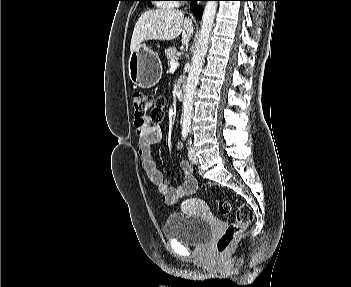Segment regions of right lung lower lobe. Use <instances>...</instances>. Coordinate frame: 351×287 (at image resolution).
I'll list each match as a JSON object with an SVG mask.
<instances>
[{
    "label": "right lung lower lobe",
    "mask_w": 351,
    "mask_h": 287,
    "mask_svg": "<svg viewBox=\"0 0 351 287\" xmlns=\"http://www.w3.org/2000/svg\"><path fill=\"white\" fill-rule=\"evenodd\" d=\"M190 1H191V10L195 14V17L197 19H199L201 16V12H200V9L197 8V6H196V1H198V0H190ZM199 1H206V0H199Z\"/></svg>",
    "instance_id": "1"
}]
</instances>
